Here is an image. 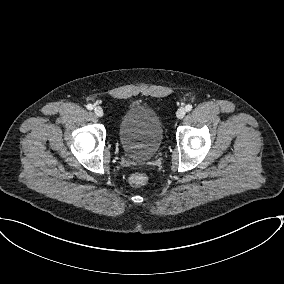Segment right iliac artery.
Wrapping results in <instances>:
<instances>
[{"label": "right iliac artery", "instance_id": "obj_1", "mask_svg": "<svg viewBox=\"0 0 284 284\" xmlns=\"http://www.w3.org/2000/svg\"><path fill=\"white\" fill-rule=\"evenodd\" d=\"M86 108H87L88 110H92V109H93V105H92V104H87Z\"/></svg>", "mask_w": 284, "mask_h": 284}]
</instances>
